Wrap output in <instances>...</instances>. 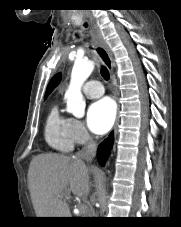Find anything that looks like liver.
Instances as JSON below:
<instances>
[{
  "instance_id": "6515ba94",
  "label": "liver",
  "mask_w": 181,
  "mask_h": 227,
  "mask_svg": "<svg viewBox=\"0 0 181 227\" xmlns=\"http://www.w3.org/2000/svg\"><path fill=\"white\" fill-rule=\"evenodd\" d=\"M89 167L80 159L61 154H40L29 166L28 184L37 217H70V192H90Z\"/></svg>"
}]
</instances>
